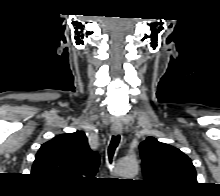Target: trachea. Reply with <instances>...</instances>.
Returning a JSON list of instances; mask_svg holds the SVG:
<instances>
[{
  "label": "trachea",
  "mask_w": 220,
  "mask_h": 196,
  "mask_svg": "<svg viewBox=\"0 0 220 196\" xmlns=\"http://www.w3.org/2000/svg\"><path fill=\"white\" fill-rule=\"evenodd\" d=\"M120 139H121L120 135L112 136V139L108 147V157H109L110 163H112V158L114 156L116 148L118 147L120 143Z\"/></svg>",
  "instance_id": "3493384b"
}]
</instances>
